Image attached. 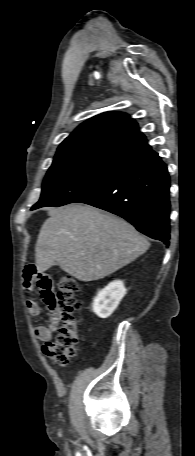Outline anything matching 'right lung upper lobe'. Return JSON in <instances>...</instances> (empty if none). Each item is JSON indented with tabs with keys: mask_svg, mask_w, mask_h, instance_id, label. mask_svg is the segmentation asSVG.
I'll return each mask as SVG.
<instances>
[{
	"mask_svg": "<svg viewBox=\"0 0 195 456\" xmlns=\"http://www.w3.org/2000/svg\"><path fill=\"white\" fill-rule=\"evenodd\" d=\"M125 113L105 112L79 125L58 147L53 163L94 161L125 168L155 153Z\"/></svg>",
	"mask_w": 195,
	"mask_h": 456,
	"instance_id": "obj_1",
	"label": "right lung upper lobe"
}]
</instances>
